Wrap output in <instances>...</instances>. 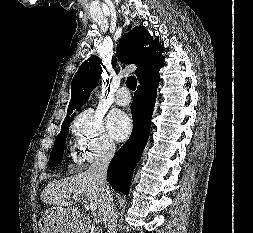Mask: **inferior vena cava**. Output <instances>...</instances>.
<instances>
[{"label": "inferior vena cava", "instance_id": "obj_1", "mask_svg": "<svg viewBox=\"0 0 253 233\" xmlns=\"http://www.w3.org/2000/svg\"><path fill=\"white\" fill-rule=\"evenodd\" d=\"M115 151V143L107 141L103 144L100 153L88 169V172L95 177L99 184V213L102 217V222L105 225L107 233H117L113 198L106 179L108 165L115 154Z\"/></svg>", "mask_w": 253, "mask_h": 233}]
</instances>
